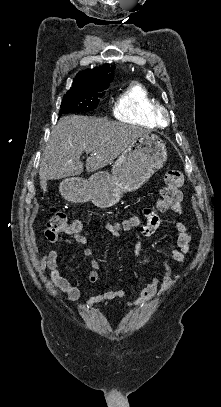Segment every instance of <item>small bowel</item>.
Masks as SVG:
<instances>
[{"mask_svg": "<svg viewBox=\"0 0 221 407\" xmlns=\"http://www.w3.org/2000/svg\"><path fill=\"white\" fill-rule=\"evenodd\" d=\"M171 210L184 218V211L180 203L171 208ZM145 222H138L136 228L132 229L130 233L135 240L134 255L140 258L144 254V241L145 237L153 235L159 228L161 223L170 225L177 233L176 241L167 239L169 246L170 258L162 257V276H154L150 282L141 290L138 297L127 301L128 307H139L147 304L156 296L167 291L171 288L180 278L178 273H173L172 261L182 264L186 261L188 254L191 251L192 237L188 232V228L183 221L173 219H160L154 215L148 208L144 209ZM113 235L118 236V232L106 225ZM90 235V229H84L78 233L71 234L65 237H59L53 240V243H64L65 248L69 249L73 242L86 245ZM61 255V250L53 249L47 255L42 257L39 262L41 270H48L52 284L59 290L65 293L64 300L66 302H75L81 297L80 285L73 282L66 277L62 276L58 268V258ZM84 255L91 257L90 270L87 276V281L90 286H96L99 282V265L93 257L91 248L84 249ZM129 291L124 289L106 291L102 293H92L86 301V308H91L105 300H113L116 298H127Z\"/></svg>", "mask_w": 221, "mask_h": 407, "instance_id": "small-bowel-1", "label": "small bowel"}]
</instances>
